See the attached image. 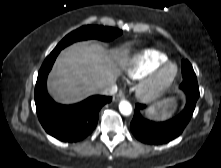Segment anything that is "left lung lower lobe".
<instances>
[{"mask_svg":"<svg viewBox=\"0 0 221 168\" xmlns=\"http://www.w3.org/2000/svg\"><path fill=\"white\" fill-rule=\"evenodd\" d=\"M186 94V105L176 117L164 121L154 122L144 118L141 111L146 108L143 104H136L130 128L134 136L146 144H165L177 138L190 121L196 102L199 98V87L196 78H186L180 85Z\"/></svg>","mask_w":221,"mask_h":168,"instance_id":"left-lung-lower-lobe-1","label":"left lung lower lobe"}]
</instances>
